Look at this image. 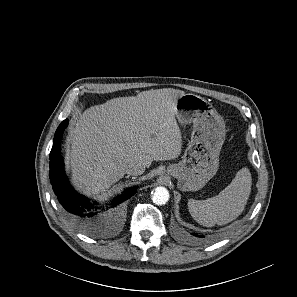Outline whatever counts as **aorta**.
I'll return each mask as SVG.
<instances>
[{
    "instance_id": "obj_1",
    "label": "aorta",
    "mask_w": 297,
    "mask_h": 297,
    "mask_svg": "<svg viewBox=\"0 0 297 297\" xmlns=\"http://www.w3.org/2000/svg\"><path fill=\"white\" fill-rule=\"evenodd\" d=\"M169 200V192L165 187H157L155 188L152 194V201L156 205H164Z\"/></svg>"
}]
</instances>
